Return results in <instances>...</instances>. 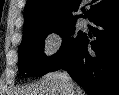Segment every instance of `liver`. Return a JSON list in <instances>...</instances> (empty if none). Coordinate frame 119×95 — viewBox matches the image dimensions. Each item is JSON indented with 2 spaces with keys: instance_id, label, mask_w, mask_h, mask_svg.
<instances>
[{
  "instance_id": "1",
  "label": "liver",
  "mask_w": 119,
  "mask_h": 95,
  "mask_svg": "<svg viewBox=\"0 0 119 95\" xmlns=\"http://www.w3.org/2000/svg\"><path fill=\"white\" fill-rule=\"evenodd\" d=\"M18 95H85V93L73 81L70 87L62 72H50L34 84L22 88Z\"/></svg>"
}]
</instances>
